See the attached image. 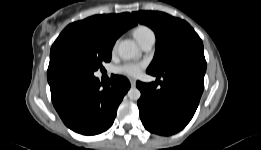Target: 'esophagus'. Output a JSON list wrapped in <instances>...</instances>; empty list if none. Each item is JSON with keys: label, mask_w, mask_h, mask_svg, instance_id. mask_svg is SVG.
Returning <instances> with one entry per match:
<instances>
[{"label": "esophagus", "mask_w": 261, "mask_h": 150, "mask_svg": "<svg viewBox=\"0 0 261 150\" xmlns=\"http://www.w3.org/2000/svg\"><path fill=\"white\" fill-rule=\"evenodd\" d=\"M130 84L132 87L136 86V80L135 79H130Z\"/></svg>", "instance_id": "1"}]
</instances>
